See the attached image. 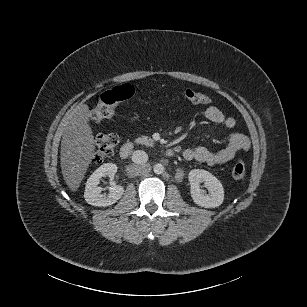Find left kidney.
Here are the masks:
<instances>
[{"label": "left kidney", "mask_w": 307, "mask_h": 307, "mask_svg": "<svg viewBox=\"0 0 307 307\" xmlns=\"http://www.w3.org/2000/svg\"><path fill=\"white\" fill-rule=\"evenodd\" d=\"M190 183V195L197 206L212 209L221 206L224 202V188L221 182L210 172L201 169H193L188 174ZM200 182H204L209 193L200 189Z\"/></svg>", "instance_id": "left-kidney-1"}]
</instances>
